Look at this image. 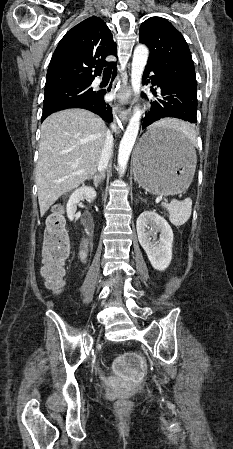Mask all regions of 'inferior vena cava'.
<instances>
[{
	"instance_id": "obj_1",
	"label": "inferior vena cava",
	"mask_w": 233,
	"mask_h": 449,
	"mask_svg": "<svg viewBox=\"0 0 233 449\" xmlns=\"http://www.w3.org/2000/svg\"><path fill=\"white\" fill-rule=\"evenodd\" d=\"M111 129L113 132H116V124L115 123L111 124ZM112 147H113V135L110 131H108L106 134L104 147L102 149L99 164H98L99 172H104V170L106 169L109 159H110Z\"/></svg>"
}]
</instances>
